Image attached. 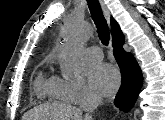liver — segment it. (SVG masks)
<instances>
[{"label":"liver","instance_id":"6515ba94","mask_svg":"<svg viewBox=\"0 0 165 120\" xmlns=\"http://www.w3.org/2000/svg\"><path fill=\"white\" fill-rule=\"evenodd\" d=\"M52 117L59 120H82V113L80 109L68 104L41 106L27 112L23 120H42Z\"/></svg>","mask_w":165,"mask_h":120}]
</instances>
